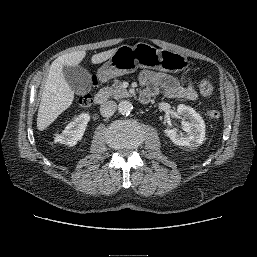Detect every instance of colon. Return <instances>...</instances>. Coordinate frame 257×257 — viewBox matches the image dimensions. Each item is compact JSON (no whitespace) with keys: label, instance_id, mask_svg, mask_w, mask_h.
Here are the masks:
<instances>
[{"label":"colon","instance_id":"5ec220e1","mask_svg":"<svg viewBox=\"0 0 257 257\" xmlns=\"http://www.w3.org/2000/svg\"><path fill=\"white\" fill-rule=\"evenodd\" d=\"M199 92L202 96H210L214 92V86L210 81L204 80L199 84ZM79 103L83 107H88L92 104V97L89 94L83 95L79 99ZM208 116L211 119H218L220 112L216 109H212L208 112Z\"/></svg>","mask_w":257,"mask_h":257}]
</instances>
